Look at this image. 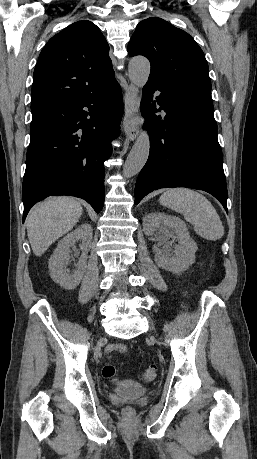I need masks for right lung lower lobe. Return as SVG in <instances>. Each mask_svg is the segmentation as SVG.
<instances>
[{"label":"right lung lower lobe","instance_id":"98d812e1","mask_svg":"<svg viewBox=\"0 0 257 459\" xmlns=\"http://www.w3.org/2000/svg\"><path fill=\"white\" fill-rule=\"evenodd\" d=\"M123 114L115 81L89 96L32 111L23 180V222L30 208L51 195L86 200L98 213L104 205V161L119 135Z\"/></svg>","mask_w":257,"mask_h":459}]
</instances>
